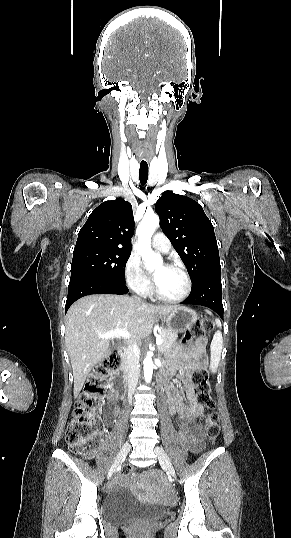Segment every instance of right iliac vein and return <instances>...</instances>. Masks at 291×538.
Returning a JSON list of instances; mask_svg holds the SVG:
<instances>
[{
  "label": "right iliac vein",
  "instance_id": "63e3f726",
  "mask_svg": "<svg viewBox=\"0 0 291 538\" xmlns=\"http://www.w3.org/2000/svg\"><path fill=\"white\" fill-rule=\"evenodd\" d=\"M129 451H130V444L128 442H125L124 445L122 446V448L120 449L118 455L116 456V458H115V460H114V462H113V464H112V466H111V468H110V470L108 472L109 476H111L115 472L118 465L125 460V458H126Z\"/></svg>",
  "mask_w": 291,
  "mask_h": 538
}]
</instances>
